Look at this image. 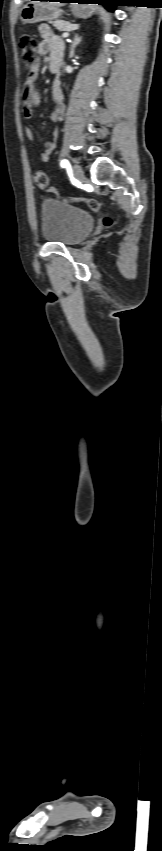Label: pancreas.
<instances>
[{
	"mask_svg": "<svg viewBox=\"0 0 162 851\" xmlns=\"http://www.w3.org/2000/svg\"><path fill=\"white\" fill-rule=\"evenodd\" d=\"M53 26L56 27L59 31H71L77 27L76 24H71L68 21L56 20L53 22Z\"/></svg>",
	"mask_w": 162,
	"mask_h": 851,
	"instance_id": "pancreas-1",
	"label": "pancreas"
}]
</instances>
